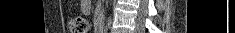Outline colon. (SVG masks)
I'll return each instance as SVG.
<instances>
[{
	"mask_svg": "<svg viewBox=\"0 0 235 33\" xmlns=\"http://www.w3.org/2000/svg\"><path fill=\"white\" fill-rule=\"evenodd\" d=\"M88 27L87 19L80 15L73 16L69 21V29L71 33H87Z\"/></svg>",
	"mask_w": 235,
	"mask_h": 33,
	"instance_id": "colon-1",
	"label": "colon"
}]
</instances>
